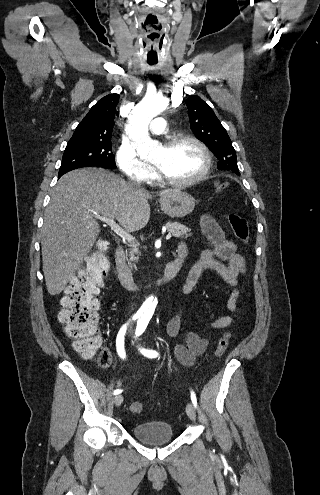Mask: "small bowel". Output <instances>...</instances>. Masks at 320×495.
<instances>
[{
	"mask_svg": "<svg viewBox=\"0 0 320 495\" xmlns=\"http://www.w3.org/2000/svg\"><path fill=\"white\" fill-rule=\"evenodd\" d=\"M201 227L204 235L211 244V248L205 250L200 259L191 267L183 285L184 294H190L203 271L211 270L219 275L226 283L233 287L227 308L231 312L238 309L237 301L240 292L237 288L238 277L246 271L245 258L237 252L236 244L230 240L223 229L212 217L206 215L202 218ZM180 247L186 248L181 243ZM233 323V316L224 315L215 320L208 321L206 327L210 329H223ZM182 329V311H178L166 324V333L170 338L176 337ZM184 344L174 346V355L180 364L190 367L198 356L204 354L209 341L201 337L197 332L187 329L183 332Z\"/></svg>",
	"mask_w": 320,
	"mask_h": 495,
	"instance_id": "1",
	"label": "small bowel"
}]
</instances>
